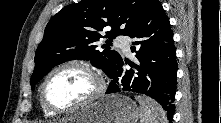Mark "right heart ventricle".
<instances>
[{
  "label": "right heart ventricle",
  "mask_w": 221,
  "mask_h": 123,
  "mask_svg": "<svg viewBox=\"0 0 221 123\" xmlns=\"http://www.w3.org/2000/svg\"><path fill=\"white\" fill-rule=\"evenodd\" d=\"M41 109H42V111H43V114H44L46 117H51V116L55 115L54 113L48 111V110L42 105V103H41Z\"/></svg>",
  "instance_id": "e07e8e85"
}]
</instances>
